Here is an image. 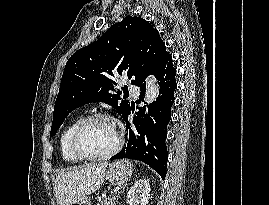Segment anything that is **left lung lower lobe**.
I'll return each instance as SVG.
<instances>
[{"label": "left lung lower lobe", "instance_id": "0a47b994", "mask_svg": "<svg viewBox=\"0 0 269 205\" xmlns=\"http://www.w3.org/2000/svg\"><path fill=\"white\" fill-rule=\"evenodd\" d=\"M176 69L172 64V56L168 54L155 73L159 81L160 92L156 102L139 108L133 117V124L127 117L131 108L123 116L127 123V146L111 160L128 158L142 161L152 167L162 179L166 176L168 153L165 144L166 130L171 120V107L174 103V91L177 87ZM145 84L140 87V98L145 93Z\"/></svg>", "mask_w": 269, "mask_h": 205}]
</instances>
